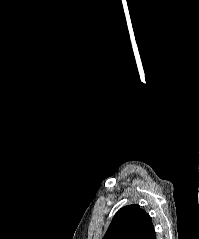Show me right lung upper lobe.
Wrapping results in <instances>:
<instances>
[{
	"mask_svg": "<svg viewBox=\"0 0 199 239\" xmlns=\"http://www.w3.org/2000/svg\"><path fill=\"white\" fill-rule=\"evenodd\" d=\"M153 229L150 216L133 204L115 214L103 239H143Z\"/></svg>",
	"mask_w": 199,
	"mask_h": 239,
	"instance_id": "cb5924a9",
	"label": "right lung upper lobe"
}]
</instances>
